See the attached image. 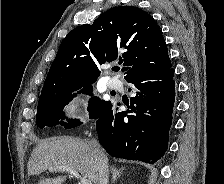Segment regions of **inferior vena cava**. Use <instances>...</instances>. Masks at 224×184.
I'll use <instances>...</instances> for the list:
<instances>
[{
    "mask_svg": "<svg viewBox=\"0 0 224 184\" xmlns=\"http://www.w3.org/2000/svg\"><path fill=\"white\" fill-rule=\"evenodd\" d=\"M90 147L93 151L98 171V183L97 184H108L109 169H108V159L102 149L101 145L96 139H91Z\"/></svg>",
    "mask_w": 224,
    "mask_h": 184,
    "instance_id": "obj_1",
    "label": "inferior vena cava"
}]
</instances>
